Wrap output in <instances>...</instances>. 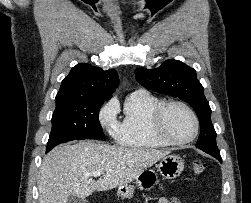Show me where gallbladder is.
Listing matches in <instances>:
<instances>
[{"label":"gallbladder","instance_id":"obj_1","mask_svg":"<svg viewBox=\"0 0 251 203\" xmlns=\"http://www.w3.org/2000/svg\"><path fill=\"white\" fill-rule=\"evenodd\" d=\"M67 203H87V201L75 195H70L67 199Z\"/></svg>","mask_w":251,"mask_h":203}]
</instances>
